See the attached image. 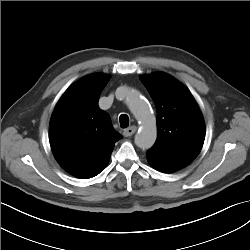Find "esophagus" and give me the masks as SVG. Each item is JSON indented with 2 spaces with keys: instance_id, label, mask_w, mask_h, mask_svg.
I'll return each mask as SVG.
<instances>
[{
  "instance_id": "34e87169",
  "label": "esophagus",
  "mask_w": 250,
  "mask_h": 250,
  "mask_svg": "<svg viewBox=\"0 0 250 250\" xmlns=\"http://www.w3.org/2000/svg\"><path fill=\"white\" fill-rule=\"evenodd\" d=\"M136 130H137L136 126H130L124 130L123 134L125 137H130L136 132Z\"/></svg>"
}]
</instances>
